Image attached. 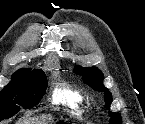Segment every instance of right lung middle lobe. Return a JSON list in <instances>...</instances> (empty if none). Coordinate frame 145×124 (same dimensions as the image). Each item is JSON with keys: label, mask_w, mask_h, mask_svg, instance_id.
Here are the masks:
<instances>
[{"label": "right lung middle lobe", "mask_w": 145, "mask_h": 124, "mask_svg": "<svg viewBox=\"0 0 145 124\" xmlns=\"http://www.w3.org/2000/svg\"><path fill=\"white\" fill-rule=\"evenodd\" d=\"M47 79L42 71L14 77L0 93V121L9 118L24 108L36 106L45 93Z\"/></svg>", "instance_id": "right-lung-middle-lobe-1"}]
</instances>
